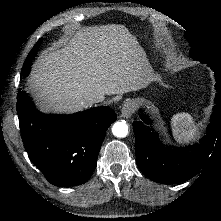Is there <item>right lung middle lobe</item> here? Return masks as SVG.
Segmentation results:
<instances>
[{
    "mask_svg": "<svg viewBox=\"0 0 221 221\" xmlns=\"http://www.w3.org/2000/svg\"><path fill=\"white\" fill-rule=\"evenodd\" d=\"M41 41L42 39H40L36 44L35 46L32 48V50L30 51V53L28 54L25 62H24V65H23V68H22V71H21V76L23 78L27 77V75L29 74L30 72V66H31V62H32V59L35 57L36 55V52L38 51L39 49V46L41 44Z\"/></svg>",
    "mask_w": 221,
    "mask_h": 221,
    "instance_id": "1",
    "label": "right lung middle lobe"
}]
</instances>
